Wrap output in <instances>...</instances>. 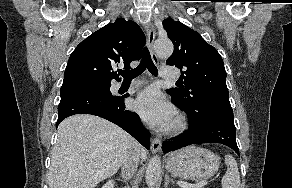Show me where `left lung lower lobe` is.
Returning <instances> with one entry per match:
<instances>
[{
  "instance_id": "1",
  "label": "left lung lower lobe",
  "mask_w": 292,
  "mask_h": 188,
  "mask_svg": "<svg viewBox=\"0 0 292 188\" xmlns=\"http://www.w3.org/2000/svg\"><path fill=\"white\" fill-rule=\"evenodd\" d=\"M235 136L232 108H215L208 111L198 122L190 120L189 130L175 140L164 142L162 150L168 153L192 144L220 143L239 154Z\"/></svg>"
}]
</instances>
